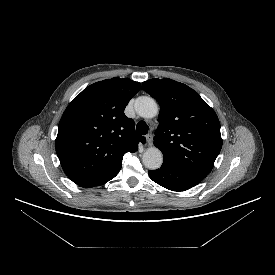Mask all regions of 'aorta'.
I'll use <instances>...</instances> for the list:
<instances>
[{
	"mask_svg": "<svg viewBox=\"0 0 275 275\" xmlns=\"http://www.w3.org/2000/svg\"><path fill=\"white\" fill-rule=\"evenodd\" d=\"M135 111L143 118H153L158 114L155 100L148 96H141L135 100ZM143 164L150 170L159 169L163 163V154L156 147L148 148L142 157Z\"/></svg>",
	"mask_w": 275,
	"mask_h": 275,
	"instance_id": "762f6f07",
	"label": "aorta"
}]
</instances>
